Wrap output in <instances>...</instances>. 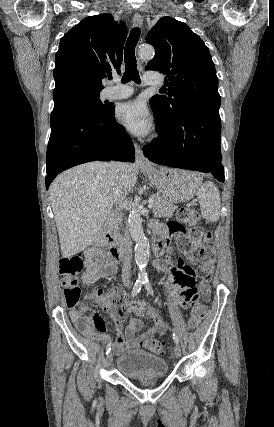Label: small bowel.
Masks as SVG:
<instances>
[{
	"label": "small bowel",
	"instance_id": "small-bowel-1",
	"mask_svg": "<svg viewBox=\"0 0 274 427\" xmlns=\"http://www.w3.org/2000/svg\"><path fill=\"white\" fill-rule=\"evenodd\" d=\"M159 223H152L151 229L156 232ZM200 247L197 244L192 245L189 251H181V255L185 256V261L189 265L196 262L194 253L204 254L206 257H211L214 251H199ZM118 259L113 255L111 249H106L102 245L89 247L84 252L85 272L82 276V281L85 285H92L101 278L112 277L117 270ZM182 259L168 257L156 261L155 267L160 272L170 271L165 285L169 295L177 299L182 296L184 302L181 307L184 310L189 309V302H196L198 295L202 292L205 299L209 298L210 287L206 284H214L215 277L211 270H215L217 264L215 261L199 263V268L195 272L197 278H201L203 285L199 286L198 282L192 276V270L189 266H184ZM207 267V269H205ZM100 307L111 314L118 334L114 341H111L106 331L108 325L104 318L97 312L88 314L86 310H73L71 319L76 324L80 332L94 340H99L111 346L117 354L125 351L137 349L142 345L144 339L153 338L166 333L168 320L160 318L154 311L155 306L150 305L149 299H136L135 302L129 301L125 294L119 291H109L104 295H100ZM131 312L148 313L150 319V328H148L141 336L137 333L142 328V320L138 317H131L124 329L123 323Z\"/></svg>",
	"mask_w": 274,
	"mask_h": 427
}]
</instances>
